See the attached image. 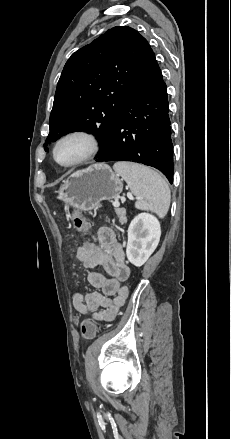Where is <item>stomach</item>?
<instances>
[{
	"label": "stomach",
	"instance_id": "0dacf381",
	"mask_svg": "<svg viewBox=\"0 0 231 439\" xmlns=\"http://www.w3.org/2000/svg\"><path fill=\"white\" fill-rule=\"evenodd\" d=\"M122 190L119 175L108 165L98 163L71 174L56 192L66 207L91 211L103 200L119 198Z\"/></svg>",
	"mask_w": 231,
	"mask_h": 439
}]
</instances>
